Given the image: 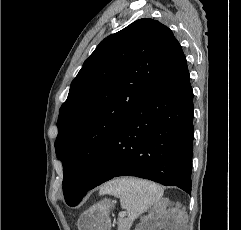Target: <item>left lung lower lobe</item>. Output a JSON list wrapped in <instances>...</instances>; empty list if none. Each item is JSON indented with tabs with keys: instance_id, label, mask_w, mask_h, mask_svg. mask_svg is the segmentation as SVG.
Returning <instances> with one entry per match:
<instances>
[{
	"instance_id": "left-lung-lower-lobe-1",
	"label": "left lung lower lobe",
	"mask_w": 241,
	"mask_h": 230,
	"mask_svg": "<svg viewBox=\"0 0 241 230\" xmlns=\"http://www.w3.org/2000/svg\"><path fill=\"white\" fill-rule=\"evenodd\" d=\"M193 111V90L184 58L96 155L92 180L71 206L88 190L118 176L149 179L190 194Z\"/></svg>"
}]
</instances>
